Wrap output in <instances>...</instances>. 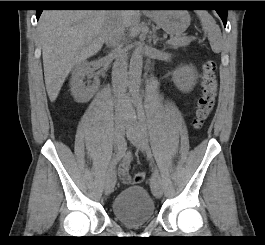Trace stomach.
<instances>
[{
  "mask_svg": "<svg viewBox=\"0 0 265 245\" xmlns=\"http://www.w3.org/2000/svg\"><path fill=\"white\" fill-rule=\"evenodd\" d=\"M153 21L169 34L179 36L190 25V15L186 10H157L151 13Z\"/></svg>",
  "mask_w": 265,
  "mask_h": 245,
  "instance_id": "obj_1",
  "label": "stomach"
}]
</instances>
